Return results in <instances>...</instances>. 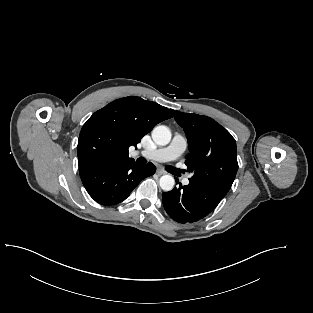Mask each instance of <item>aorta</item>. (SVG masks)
<instances>
[{
	"mask_svg": "<svg viewBox=\"0 0 313 313\" xmlns=\"http://www.w3.org/2000/svg\"><path fill=\"white\" fill-rule=\"evenodd\" d=\"M152 138L157 145L165 146L171 140V131L167 126H157L152 131ZM159 184L162 190L171 191L175 185V180L171 175H163Z\"/></svg>",
	"mask_w": 313,
	"mask_h": 313,
	"instance_id": "aorta-1",
	"label": "aorta"
}]
</instances>
